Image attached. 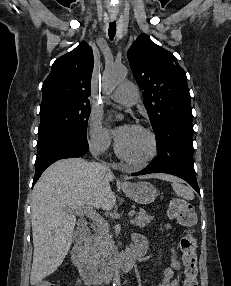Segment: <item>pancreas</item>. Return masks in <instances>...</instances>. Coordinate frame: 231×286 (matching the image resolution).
Instances as JSON below:
<instances>
[{"instance_id":"obj_1","label":"pancreas","mask_w":231,"mask_h":286,"mask_svg":"<svg viewBox=\"0 0 231 286\" xmlns=\"http://www.w3.org/2000/svg\"><path fill=\"white\" fill-rule=\"evenodd\" d=\"M153 219L154 218L149 216L145 210L141 209L132 220V223L136 226L144 227ZM113 245L114 242L109 226L98 228L91 239L88 257L89 263L97 268L103 267L112 255Z\"/></svg>"}]
</instances>
